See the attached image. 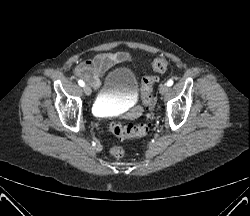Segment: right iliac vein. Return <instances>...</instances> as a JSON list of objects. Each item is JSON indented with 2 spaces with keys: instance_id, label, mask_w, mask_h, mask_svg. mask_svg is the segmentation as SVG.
Masks as SVG:
<instances>
[{
  "instance_id": "1",
  "label": "right iliac vein",
  "mask_w": 250,
  "mask_h": 216,
  "mask_svg": "<svg viewBox=\"0 0 250 216\" xmlns=\"http://www.w3.org/2000/svg\"><path fill=\"white\" fill-rule=\"evenodd\" d=\"M83 90H84L85 94L88 96L91 95V93H92V90H91L90 86H88V85H84Z\"/></svg>"
}]
</instances>
